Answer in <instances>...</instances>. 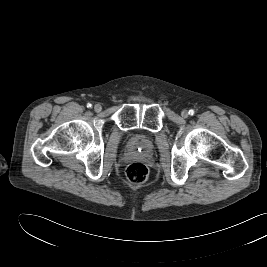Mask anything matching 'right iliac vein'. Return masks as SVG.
<instances>
[{
  "instance_id": "right-iliac-vein-1",
  "label": "right iliac vein",
  "mask_w": 267,
  "mask_h": 267,
  "mask_svg": "<svg viewBox=\"0 0 267 267\" xmlns=\"http://www.w3.org/2000/svg\"><path fill=\"white\" fill-rule=\"evenodd\" d=\"M94 110H95L96 112H100V111L102 110V106H101L100 104H95V106H94Z\"/></svg>"
}]
</instances>
